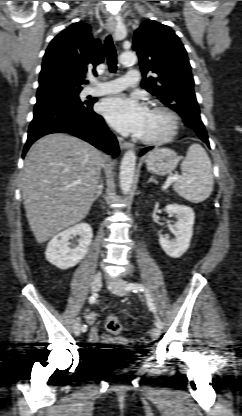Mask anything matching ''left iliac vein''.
Returning <instances> with one entry per match:
<instances>
[{
    "label": "left iliac vein",
    "mask_w": 242,
    "mask_h": 416,
    "mask_svg": "<svg viewBox=\"0 0 242 416\" xmlns=\"http://www.w3.org/2000/svg\"><path fill=\"white\" fill-rule=\"evenodd\" d=\"M125 285L126 282L120 278L108 282V288L118 296H123L126 294ZM160 334L161 331L158 327H154L151 330V337L153 339H157L160 336Z\"/></svg>",
    "instance_id": "4c4485c4"
}]
</instances>
